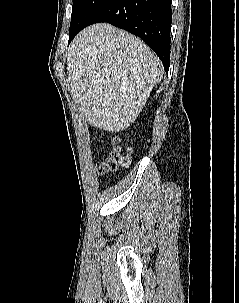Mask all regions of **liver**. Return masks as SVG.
<instances>
[{"instance_id":"liver-1","label":"liver","mask_w":239,"mask_h":303,"mask_svg":"<svg viewBox=\"0 0 239 303\" xmlns=\"http://www.w3.org/2000/svg\"><path fill=\"white\" fill-rule=\"evenodd\" d=\"M67 71L86 120L109 132L136 120L163 75L159 58L141 39L107 23L91 25L75 37Z\"/></svg>"}]
</instances>
